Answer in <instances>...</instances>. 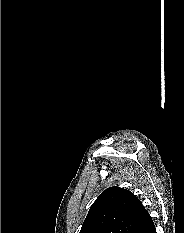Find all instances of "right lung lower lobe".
Wrapping results in <instances>:
<instances>
[{"label": "right lung lower lobe", "mask_w": 184, "mask_h": 233, "mask_svg": "<svg viewBox=\"0 0 184 233\" xmlns=\"http://www.w3.org/2000/svg\"><path fill=\"white\" fill-rule=\"evenodd\" d=\"M134 233H156L151 217H149Z\"/></svg>", "instance_id": "right-lung-lower-lobe-1"}]
</instances>
